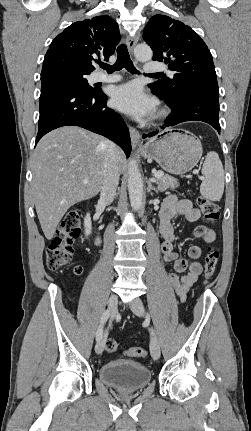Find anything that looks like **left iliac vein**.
<instances>
[{
    "instance_id": "4c4485c4",
    "label": "left iliac vein",
    "mask_w": 251,
    "mask_h": 431,
    "mask_svg": "<svg viewBox=\"0 0 251 431\" xmlns=\"http://www.w3.org/2000/svg\"><path fill=\"white\" fill-rule=\"evenodd\" d=\"M130 308L132 312L139 317H142L145 315V308H144L143 302L139 298H135L134 300L131 301ZM149 331H150V337H151V341H150L151 356L153 357L154 360H158L160 357V346L158 343L157 335L153 327H150Z\"/></svg>"
}]
</instances>
